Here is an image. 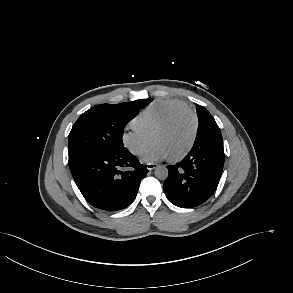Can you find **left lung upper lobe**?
<instances>
[{
  "label": "left lung upper lobe",
  "instance_id": "1",
  "mask_svg": "<svg viewBox=\"0 0 293 293\" xmlns=\"http://www.w3.org/2000/svg\"><path fill=\"white\" fill-rule=\"evenodd\" d=\"M197 115L199 119V127L195 141L208 138H216L223 141L220 129L208 110L203 106H198Z\"/></svg>",
  "mask_w": 293,
  "mask_h": 293
}]
</instances>
